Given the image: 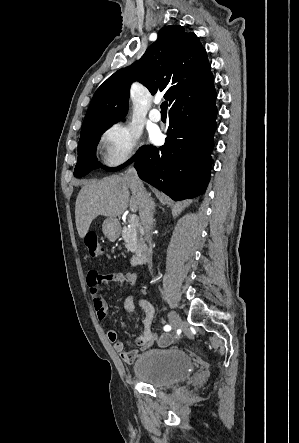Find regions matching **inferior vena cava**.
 I'll use <instances>...</instances> for the list:
<instances>
[{
    "label": "inferior vena cava",
    "instance_id": "1",
    "mask_svg": "<svg viewBox=\"0 0 299 443\" xmlns=\"http://www.w3.org/2000/svg\"><path fill=\"white\" fill-rule=\"evenodd\" d=\"M126 177L130 181V187L132 192L136 195L139 201L140 219L146 232L147 242L151 245L153 210H152L150 195L147 193L142 181L138 177L137 171L134 168H130L128 170Z\"/></svg>",
    "mask_w": 299,
    "mask_h": 443
}]
</instances>
